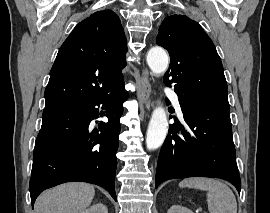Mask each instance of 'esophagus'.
<instances>
[{"label": "esophagus", "instance_id": "1", "mask_svg": "<svg viewBox=\"0 0 270 213\" xmlns=\"http://www.w3.org/2000/svg\"><path fill=\"white\" fill-rule=\"evenodd\" d=\"M139 97L145 103L149 104V98L151 95L152 87L149 78V72L147 69L142 70V75L139 83Z\"/></svg>", "mask_w": 270, "mask_h": 213}]
</instances>
